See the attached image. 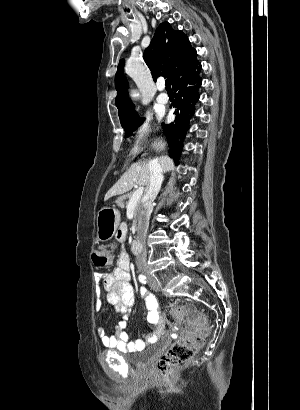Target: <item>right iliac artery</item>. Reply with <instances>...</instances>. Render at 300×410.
<instances>
[{"label": "right iliac artery", "instance_id": "82829eb1", "mask_svg": "<svg viewBox=\"0 0 300 410\" xmlns=\"http://www.w3.org/2000/svg\"><path fill=\"white\" fill-rule=\"evenodd\" d=\"M138 279L142 284H146V276L145 275L140 274Z\"/></svg>", "mask_w": 300, "mask_h": 410}]
</instances>
